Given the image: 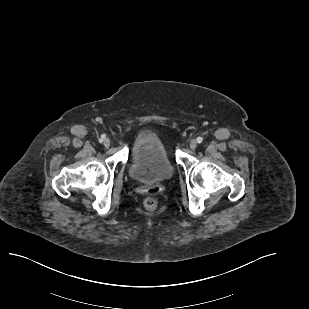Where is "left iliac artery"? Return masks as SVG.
<instances>
[{
	"label": "left iliac artery",
	"mask_w": 309,
	"mask_h": 309,
	"mask_svg": "<svg viewBox=\"0 0 309 309\" xmlns=\"http://www.w3.org/2000/svg\"><path fill=\"white\" fill-rule=\"evenodd\" d=\"M196 141H197L198 143H202L203 138H202V137H197Z\"/></svg>",
	"instance_id": "44dca946"
}]
</instances>
